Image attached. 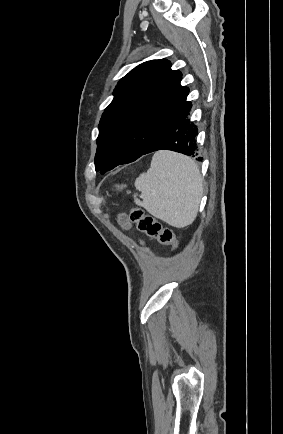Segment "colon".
I'll use <instances>...</instances> for the list:
<instances>
[{
    "label": "colon",
    "instance_id": "colon-1",
    "mask_svg": "<svg viewBox=\"0 0 283 434\" xmlns=\"http://www.w3.org/2000/svg\"><path fill=\"white\" fill-rule=\"evenodd\" d=\"M120 190V186H116ZM130 221L135 223L137 229L149 238L157 239L163 245H169L176 249L179 241L174 232L162 226L153 216L145 213L140 207H134L129 214Z\"/></svg>",
    "mask_w": 283,
    "mask_h": 434
}]
</instances>
